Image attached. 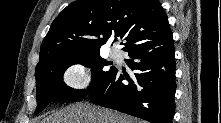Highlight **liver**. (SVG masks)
I'll use <instances>...</instances> for the list:
<instances>
[{"mask_svg": "<svg viewBox=\"0 0 221 123\" xmlns=\"http://www.w3.org/2000/svg\"><path fill=\"white\" fill-rule=\"evenodd\" d=\"M42 123H137V120L92 104L76 103L52 113Z\"/></svg>", "mask_w": 221, "mask_h": 123, "instance_id": "liver-1", "label": "liver"}]
</instances>
